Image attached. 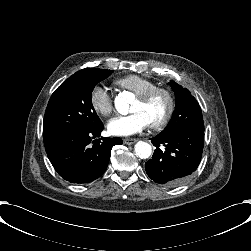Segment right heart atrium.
I'll return each instance as SVG.
<instances>
[{"label": "right heart atrium", "instance_id": "right-heart-atrium-1", "mask_svg": "<svg viewBox=\"0 0 251 251\" xmlns=\"http://www.w3.org/2000/svg\"><path fill=\"white\" fill-rule=\"evenodd\" d=\"M89 102L92 109L101 115L106 116L113 111V98L105 86L94 85L90 90Z\"/></svg>", "mask_w": 251, "mask_h": 251}]
</instances>
